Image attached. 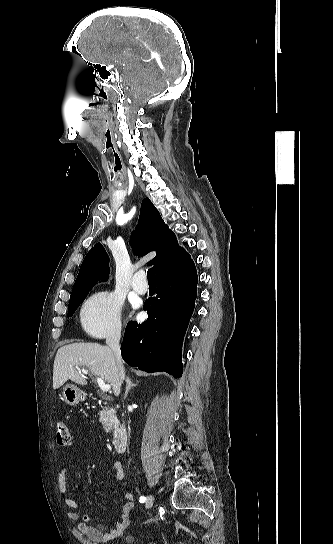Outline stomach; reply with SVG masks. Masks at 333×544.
I'll return each mask as SVG.
<instances>
[{
  "instance_id": "stomach-1",
  "label": "stomach",
  "mask_w": 333,
  "mask_h": 544,
  "mask_svg": "<svg viewBox=\"0 0 333 544\" xmlns=\"http://www.w3.org/2000/svg\"><path fill=\"white\" fill-rule=\"evenodd\" d=\"M63 400L71 406L77 405L79 402L84 400V393L72 384H68L63 388Z\"/></svg>"
}]
</instances>
